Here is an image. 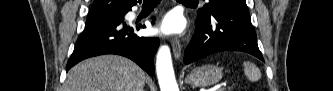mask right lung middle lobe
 <instances>
[{
	"instance_id": "dd1d6c3e",
	"label": "right lung middle lobe",
	"mask_w": 333,
	"mask_h": 91,
	"mask_svg": "<svg viewBox=\"0 0 333 91\" xmlns=\"http://www.w3.org/2000/svg\"><path fill=\"white\" fill-rule=\"evenodd\" d=\"M121 14H124V13H120V14H116V15H121Z\"/></svg>"
}]
</instances>
